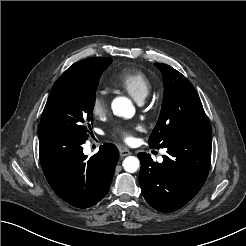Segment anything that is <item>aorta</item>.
<instances>
[{"label": "aorta", "instance_id": "obj_1", "mask_svg": "<svg viewBox=\"0 0 246 246\" xmlns=\"http://www.w3.org/2000/svg\"><path fill=\"white\" fill-rule=\"evenodd\" d=\"M113 113L119 117L132 118L135 114V107L130 99L124 96L116 97L112 102ZM140 167V161L135 156H128L123 161V168L128 173H135Z\"/></svg>", "mask_w": 246, "mask_h": 246}]
</instances>
